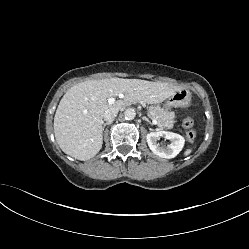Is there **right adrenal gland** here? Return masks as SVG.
Instances as JSON below:
<instances>
[{
  "label": "right adrenal gland",
  "instance_id": "2a0ac1e0",
  "mask_svg": "<svg viewBox=\"0 0 249 249\" xmlns=\"http://www.w3.org/2000/svg\"><path fill=\"white\" fill-rule=\"evenodd\" d=\"M110 124H111V122H105V123L103 124L102 129L104 130L105 126H106V125H110Z\"/></svg>",
  "mask_w": 249,
  "mask_h": 249
}]
</instances>
